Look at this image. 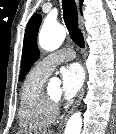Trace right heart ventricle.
<instances>
[{
    "label": "right heart ventricle",
    "mask_w": 116,
    "mask_h": 134,
    "mask_svg": "<svg viewBox=\"0 0 116 134\" xmlns=\"http://www.w3.org/2000/svg\"><path fill=\"white\" fill-rule=\"evenodd\" d=\"M48 75L36 67L27 74L20 91L18 120L20 126L29 131H41L51 126L57 116L45 98L44 84Z\"/></svg>",
    "instance_id": "1"
}]
</instances>
